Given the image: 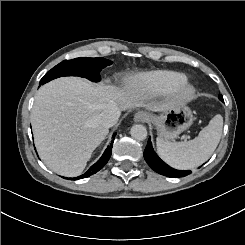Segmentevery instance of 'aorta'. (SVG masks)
Listing matches in <instances>:
<instances>
[{
    "mask_svg": "<svg viewBox=\"0 0 245 245\" xmlns=\"http://www.w3.org/2000/svg\"><path fill=\"white\" fill-rule=\"evenodd\" d=\"M130 134L134 139L142 141L145 140L147 137V130L144 125L135 124L131 127Z\"/></svg>",
    "mask_w": 245,
    "mask_h": 245,
    "instance_id": "1",
    "label": "aorta"
}]
</instances>
